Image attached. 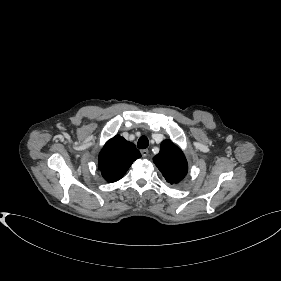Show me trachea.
I'll list each match as a JSON object with an SVG mask.
<instances>
[{
	"label": "trachea",
	"mask_w": 281,
	"mask_h": 281,
	"mask_svg": "<svg viewBox=\"0 0 281 281\" xmlns=\"http://www.w3.org/2000/svg\"><path fill=\"white\" fill-rule=\"evenodd\" d=\"M149 145V140L146 136H141L138 140L137 147L139 149H145Z\"/></svg>",
	"instance_id": "obj_1"
}]
</instances>
